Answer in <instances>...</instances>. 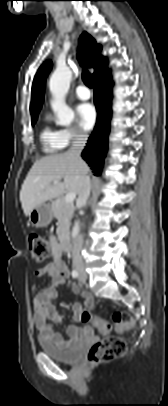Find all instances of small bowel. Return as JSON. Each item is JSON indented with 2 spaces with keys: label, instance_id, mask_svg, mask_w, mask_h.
<instances>
[{
  "label": "small bowel",
  "instance_id": "1",
  "mask_svg": "<svg viewBox=\"0 0 168 406\" xmlns=\"http://www.w3.org/2000/svg\"><path fill=\"white\" fill-rule=\"evenodd\" d=\"M53 260L44 267L35 271L38 278L48 276L52 283L45 289L35 291L33 296L34 321L40 335L45 337L49 342L58 346H69L72 342L78 340L82 336H89L93 333L90 326L82 328L69 326L67 333L70 340H65L60 333L53 329L52 323H60L62 317L54 305L57 299V286L65 284L69 271L66 263L61 259L62 250L60 246L52 238ZM71 290L75 293H80L83 297V304L75 302L73 304L74 317L79 320L84 313V308L93 309L95 302L91 294L82 292L78 287L71 286Z\"/></svg>",
  "mask_w": 168,
  "mask_h": 406
}]
</instances>
